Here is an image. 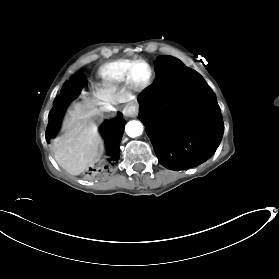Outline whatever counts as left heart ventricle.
<instances>
[{"label":"left heart ventricle","mask_w":279,"mask_h":279,"mask_svg":"<svg viewBox=\"0 0 279 279\" xmlns=\"http://www.w3.org/2000/svg\"><path fill=\"white\" fill-rule=\"evenodd\" d=\"M134 78L137 81H144L148 76V68L145 64L139 63L134 67Z\"/></svg>","instance_id":"obj_1"}]
</instances>
